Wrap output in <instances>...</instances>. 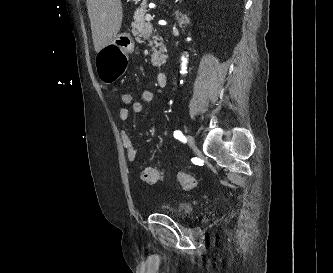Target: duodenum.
<instances>
[{
    "label": "duodenum",
    "instance_id": "410a0bca",
    "mask_svg": "<svg viewBox=\"0 0 333 273\" xmlns=\"http://www.w3.org/2000/svg\"><path fill=\"white\" fill-rule=\"evenodd\" d=\"M168 82V75L166 72H159L157 74V84L159 87H165Z\"/></svg>",
    "mask_w": 333,
    "mask_h": 273
}]
</instances>
